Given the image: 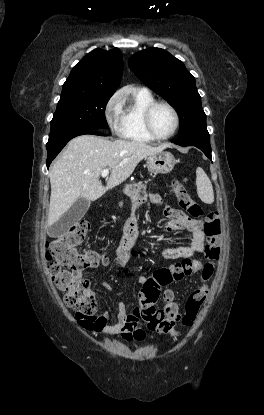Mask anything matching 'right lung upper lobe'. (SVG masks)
Returning a JSON list of instances; mask_svg holds the SVG:
<instances>
[{
  "instance_id": "right-lung-upper-lobe-1",
  "label": "right lung upper lobe",
  "mask_w": 264,
  "mask_h": 415,
  "mask_svg": "<svg viewBox=\"0 0 264 415\" xmlns=\"http://www.w3.org/2000/svg\"><path fill=\"white\" fill-rule=\"evenodd\" d=\"M123 69L121 51L97 48L73 67L63 84L61 96L113 94L120 82Z\"/></svg>"
}]
</instances>
